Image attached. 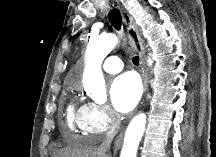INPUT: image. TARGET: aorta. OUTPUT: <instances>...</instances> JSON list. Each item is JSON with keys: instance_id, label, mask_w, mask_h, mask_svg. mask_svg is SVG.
Segmentation results:
<instances>
[{"instance_id": "1", "label": "aorta", "mask_w": 216, "mask_h": 157, "mask_svg": "<svg viewBox=\"0 0 216 157\" xmlns=\"http://www.w3.org/2000/svg\"><path fill=\"white\" fill-rule=\"evenodd\" d=\"M118 42L115 34H103L89 41L86 51L83 86L96 103L107 99L101 65ZM146 127V115L140 113L129 123L120 157H137V149Z\"/></svg>"}]
</instances>
